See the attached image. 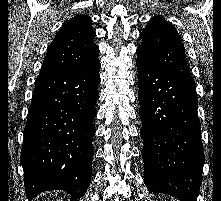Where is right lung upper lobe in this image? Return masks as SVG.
<instances>
[{
    "label": "right lung upper lobe",
    "mask_w": 221,
    "mask_h": 201,
    "mask_svg": "<svg viewBox=\"0 0 221 201\" xmlns=\"http://www.w3.org/2000/svg\"><path fill=\"white\" fill-rule=\"evenodd\" d=\"M91 19L77 15L68 20L52 41L41 71L56 73L81 72L100 64L99 48Z\"/></svg>",
    "instance_id": "right-lung-upper-lobe-1"
}]
</instances>
